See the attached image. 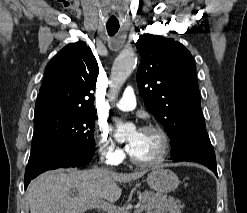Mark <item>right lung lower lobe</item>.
Segmentation results:
<instances>
[{
	"label": "right lung lower lobe",
	"mask_w": 247,
	"mask_h": 213,
	"mask_svg": "<svg viewBox=\"0 0 247 213\" xmlns=\"http://www.w3.org/2000/svg\"><path fill=\"white\" fill-rule=\"evenodd\" d=\"M94 152H71L66 146L56 145L35 157L29 158L24 178L25 189L33 178L47 170L85 166L93 157Z\"/></svg>",
	"instance_id": "obj_1"
}]
</instances>
